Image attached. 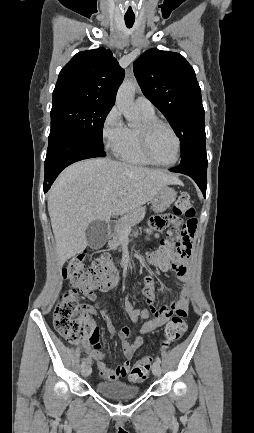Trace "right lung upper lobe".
I'll return each mask as SVG.
<instances>
[{
    "label": "right lung upper lobe",
    "mask_w": 254,
    "mask_h": 433,
    "mask_svg": "<svg viewBox=\"0 0 254 433\" xmlns=\"http://www.w3.org/2000/svg\"><path fill=\"white\" fill-rule=\"evenodd\" d=\"M124 75L110 50L98 48L79 52L60 71L52 105L88 101L112 107Z\"/></svg>",
    "instance_id": "right-lung-upper-lobe-1"
}]
</instances>
